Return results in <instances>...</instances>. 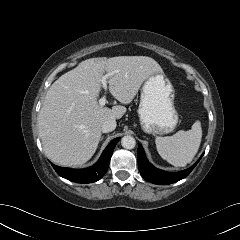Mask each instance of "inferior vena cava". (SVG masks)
I'll list each match as a JSON object with an SVG mask.
<instances>
[{
	"label": "inferior vena cava",
	"instance_id": "1",
	"mask_svg": "<svg viewBox=\"0 0 240 240\" xmlns=\"http://www.w3.org/2000/svg\"><path fill=\"white\" fill-rule=\"evenodd\" d=\"M116 128V121L114 119H107L102 123L101 131L103 133H108Z\"/></svg>",
	"mask_w": 240,
	"mask_h": 240
}]
</instances>
